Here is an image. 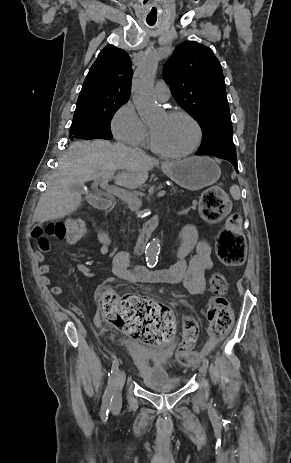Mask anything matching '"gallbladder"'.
<instances>
[{
	"label": "gallbladder",
	"mask_w": 291,
	"mask_h": 463,
	"mask_svg": "<svg viewBox=\"0 0 291 463\" xmlns=\"http://www.w3.org/2000/svg\"><path fill=\"white\" fill-rule=\"evenodd\" d=\"M72 189H73L74 191H82V189H81L79 186H77V185H73V186H72Z\"/></svg>",
	"instance_id": "gallbladder-1"
}]
</instances>
